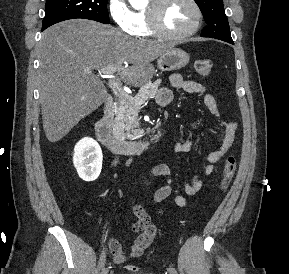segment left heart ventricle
<instances>
[{"label":"left heart ventricle","instance_id":"obj_1","mask_svg":"<svg viewBox=\"0 0 289 274\" xmlns=\"http://www.w3.org/2000/svg\"><path fill=\"white\" fill-rule=\"evenodd\" d=\"M195 18V11L188 0H171L164 8L162 24L171 33H182L193 26Z\"/></svg>","mask_w":289,"mask_h":274}]
</instances>
